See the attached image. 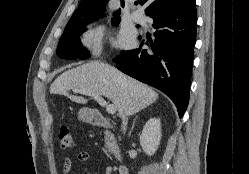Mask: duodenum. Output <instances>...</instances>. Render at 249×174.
I'll list each match as a JSON object with an SVG mask.
<instances>
[{
    "mask_svg": "<svg viewBox=\"0 0 249 174\" xmlns=\"http://www.w3.org/2000/svg\"><path fill=\"white\" fill-rule=\"evenodd\" d=\"M90 121L95 126L107 129L109 131V133L111 134L110 135V142L112 144H115V134L117 132V126L113 122L106 119L99 112H93L90 116ZM116 157L119 160H122V154L119 150H116ZM117 172H118V174H129V168L125 163L121 162L117 166Z\"/></svg>",
    "mask_w": 249,
    "mask_h": 174,
    "instance_id": "1",
    "label": "duodenum"
}]
</instances>
